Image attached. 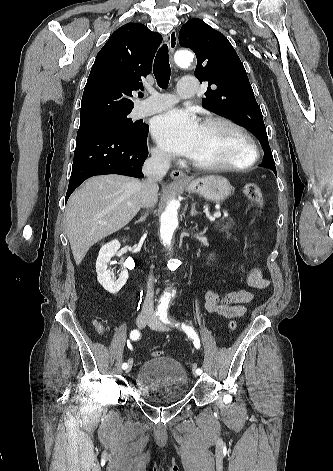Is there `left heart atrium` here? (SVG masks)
<instances>
[{"label":"left heart atrium","mask_w":333,"mask_h":471,"mask_svg":"<svg viewBox=\"0 0 333 471\" xmlns=\"http://www.w3.org/2000/svg\"><path fill=\"white\" fill-rule=\"evenodd\" d=\"M201 125L192 111L170 110L158 116L152 126L153 136L165 150L192 157Z\"/></svg>","instance_id":"left-heart-atrium-1"}]
</instances>
